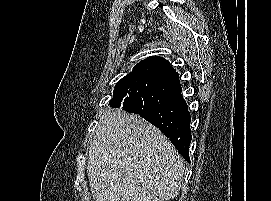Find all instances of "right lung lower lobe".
Returning a JSON list of instances; mask_svg holds the SVG:
<instances>
[{"instance_id": "obj_1", "label": "right lung lower lobe", "mask_w": 271, "mask_h": 201, "mask_svg": "<svg viewBox=\"0 0 271 201\" xmlns=\"http://www.w3.org/2000/svg\"><path fill=\"white\" fill-rule=\"evenodd\" d=\"M150 73L151 79L143 92L126 97L119 108L158 127L190 163V113L181 94L179 75L166 59L154 65Z\"/></svg>"}]
</instances>
